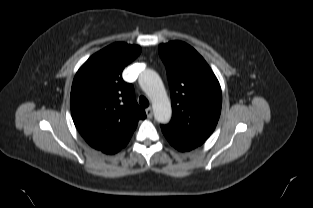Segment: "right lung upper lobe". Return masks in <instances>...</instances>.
<instances>
[{"label": "right lung upper lobe", "instance_id": "cb5924a9", "mask_svg": "<svg viewBox=\"0 0 313 208\" xmlns=\"http://www.w3.org/2000/svg\"><path fill=\"white\" fill-rule=\"evenodd\" d=\"M141 52L140 46L113 43L92 55L73 80L70 106L75 126L87 142H128L146 118L132 84L122 71Z\"/></svg>", "mask_w": 313, "mask_h": 208}]
</instances>
